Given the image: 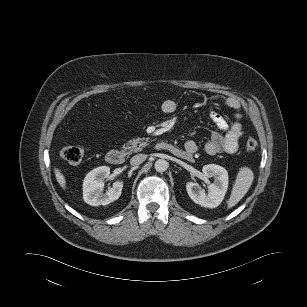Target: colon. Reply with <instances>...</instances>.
Wrapping results in <instances>:
<instances>
[{
    "instance_id": "colon-1",
    "label": "colon",
    "mask_w": 307,
    "mask_h": 307,
    "mask_svg": "<svg viewBox=\"0 0 307 307\" xmlns=\"http://www.w3.org/2000/svg\"><path fill=\"white\" fill-rule=\"evenodd\" d=\"M258 147L257 140L250 137L245 143L247 153H253ZM84 151L78 146H67L61 151V157L69 164H78L83 159Z\"/></svg>"
}]
</instances>
